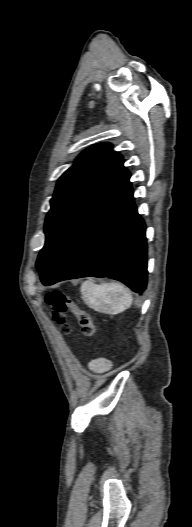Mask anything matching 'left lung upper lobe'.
<instances>
[{
	"mask_svg": "<svg viewBox=\"0 0 192 527\" xmlns=\"http://www.w3.org/2000/svg\"><path fill=\"white\" fill-rule=\"evenodd\" d=\"M128 173L122 156L102 143L83 151L60 177L45 221V246L36 267L40 278L87 220L93 210Z\"/></svg>",
	"mask_w": 192,
	"mask_h": 527,
	"instance_id": "5c2ea615",
	"label": "left lung upper lobe"
}]
</instances>
